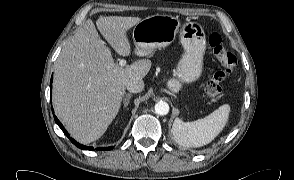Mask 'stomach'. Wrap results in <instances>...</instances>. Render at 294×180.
<instances>
[{"label": "stomach", "mask_w": 294, "mask_h": 180, "mask_svg": "<svg viewBox=\"0 0 294 180\" xmlns=\"http://www.w3.org/2000/svg\"><path fill=\"white\" fill-rule=\"evenodd\" d=\"M179 34L184 54L180 59L176 74L178 79L168 82L172 92H177L181 82L197 80L203 68V57L206 48L205 32L197 23L188 21L181 25L177 17L171 15H152L142 19L133 28V42L138 55H148L155 48L170 45Z\"/></svg>", "instance_id": "0dacf381"}]
</instances>
